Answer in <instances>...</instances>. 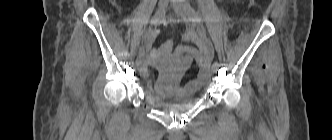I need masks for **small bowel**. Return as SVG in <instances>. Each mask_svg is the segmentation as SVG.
Here are the masks:
<instances>
[{
	"label": "small bowel",
	"instance_id": "small-bowel-1",
	"mask_svg": "<svg viewBox=\"0 0 332 140\" xmlns=\"http://www.w3.org/2000/svg\"><path fill=\"white\" fill-rule=\"evenodd\" d=\"M226 1V0H220ZM236 1V0H228ZM182 42H193L196 48L180 44L176 46L174 53L183 54L190 53L199 64V75L195 80L188 82L185 86L181 85V77L179 75H171L166 69L160 66L161 58L159 55V49H152L149 56L144 60L140 69L142 76L151 83V78L148 73L150 66H157L159 68V77L154 84L155 91L160 95L165 96H179L184 91L194 88L195 86L202 85L209 77L210 63L214 57V51L210 42L198 36L192 32H187L181 37ZM153 38L151 37L148 48L152 45Z\"/></svg>",
	"mask_w": 332,
	"mask_h": 140
}]
</instances>
